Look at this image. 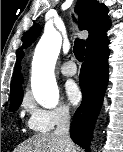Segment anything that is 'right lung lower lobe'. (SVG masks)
Masks as SVG:
<instances>
[{
	"instance_id": "right-lung-lower-lobe-1",
	"label": "right lung lower lobe",
	"mask_w": 123,
	"mask_h": 152,
	"mask_svg": "<svg viewBox=\"0 0 123 152\" xmlns=\"http://www.w3.org/2000/svg\"><path fill=\"white\" fill-rule=\"evenodd\" d=\"M108 39L86 51L79 76L83 100L71 123L73 141L89 152L94 125L108 83Z\"/></svg>"
}]
</instances>
